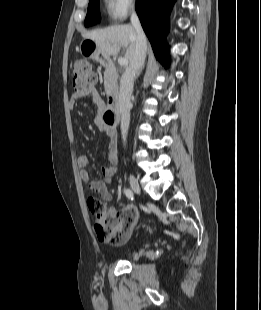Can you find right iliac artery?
<instances>
[{"mask_svg":"<svg viewBox=\"0 0 261 310\" xmlns=\"http://www.w3.org/2000/svg\"><path fill=\"white\" fill-rule=\"evenodd\" d=\"M124 193L129 199L133 200V192L130 189H125Z\"/></svg>","mask_w":261,"mask_h":310,"instance_id":"82829eb1","label":"right iliac artery"}]
</instances>
